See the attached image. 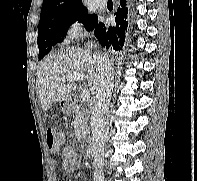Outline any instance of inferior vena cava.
<instances>
[{"instance_id":"inferior-vena-cava-1","label":"inferior vena cava","mask_w":197,"mask_h":181,"mask_svg":"<svg viewBox=\"0 0 197 181\" xmlns=\"http://www.w3.org/2000/svg\"><path fill=\"white\" fill-rule=\"evenodd\" d=\"M98 70L100 76L90 122L94 166L93 181H104V122L112 96L114 77L111 63L104 58L99 59Z\"/></svg>"}]
</instances>
